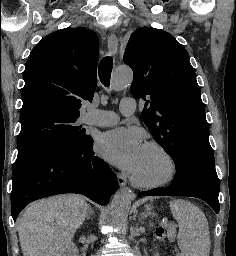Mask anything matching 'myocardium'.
<instances>
[{
    "mask_svg": "<svg viewBox=\"0 0 236 256\" xmlns=\"http://www.w3.org/2000/svg\"><path fill=\"white\" fill-rule=\"evenodd\" d=\"M127 85L128 84H125L124 87H126ZM146 147L156 149L160 153H162V155L165 157V159L168 163V172L163 178H161L157 181H154V182L144 181L133 173L130 176L131 182L136 187L143 188V189H149V190L158 189V188L168 185L175 179V177L178 174V164H177L173 154L168 150L167 147H165L163 144H161L157 141L147 142Z\"/></svg>",
    "mask_w": 236,
    "mask_h": 256,
    "instance_id": "1",
    "label": "myocardium"
}]
</instances>
